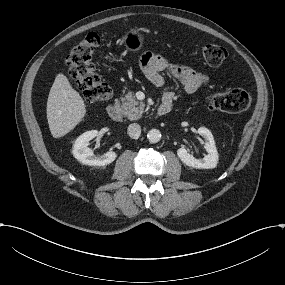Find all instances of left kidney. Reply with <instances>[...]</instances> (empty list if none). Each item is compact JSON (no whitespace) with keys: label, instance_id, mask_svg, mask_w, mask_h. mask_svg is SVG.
Returning <instances> with one entry per match:
<instances>
[{"label":"left kidney","instance_id":"5707ae66","mask_svg":"<svg viewBox=\"0 0 285 285\" xmlns=\"http://www.w3.org/2000/svg\"><path fill=\"white\" fill-rule=\"evenodd\" d=\"M198 134L206 139L204 149L207 155L202 160L195 159L185 148L181 147L177 150V156L186 166L198 169H214L217 166L218 155L213 136L206 128H199Z\"/></svg>","mask_w":285,"mask_h":285}]
</instances>
